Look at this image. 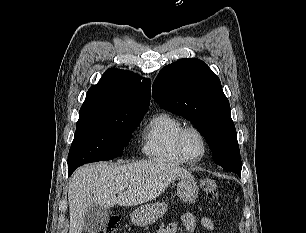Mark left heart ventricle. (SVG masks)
Wrapping results in <instances>:
<instances>
[{"label":"left heart ventricle","mask_w":306,"mask_h":233,"mask_svg":"<svg viewBox=\"0 0 306 233\" xmlns=\"http://www.w3.org/2000/svg\"><path fill=\"white\" fill-rule=\"evenodd\" d=\"M184 147L187 155L191 158L198 157L203 150L202 142L194 132H190L186 135L184 139Z\"/></svg>","instance_id":"b2bd125f"}]
</instances>
